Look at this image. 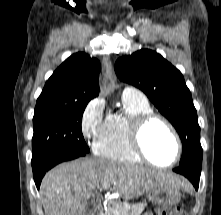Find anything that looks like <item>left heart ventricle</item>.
Here are the masks:
<instances>
[{"label": "left heart ventricle", "instance_id": "obj_1", "mask_svg": "<svg viewBox=\"0 0 221 215\" xmlns=\"http://www.w3.org/2000/svg\"><path fill=\"white\" fill-rule=\"evenodd\" d=\"M142 143L149 157L159 164L170 163L176 154V144L169 130L160 121L150 122L144 130Z\"/></svg>", "mask_w": 221, "mask_h": 215}]
</instances>
